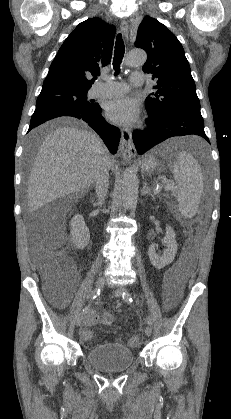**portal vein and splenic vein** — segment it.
<instances>
[{
    "instance_id": "portal-vein-and-splenic-vein-1",
    "label": "portal vein and splenic vein",
    "mask_w": 231,
    "mask_h": 419,
    "mask_svg": "<svg viewBox=\"0 0 231 419\" xmlns=\"http://www.w3.org/2000/svg\"><path fill=\"white\" fill-rule=\"evenodd\" d=\"M162 182H163L164 184H166V185H165V189H166V190H171V189H172V186H171V185H169V184H167V180H163Z\"/></svg>"
}]
</instances>
